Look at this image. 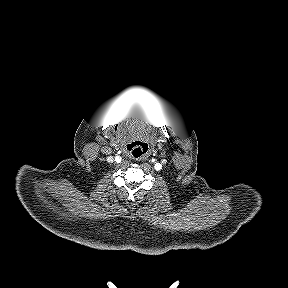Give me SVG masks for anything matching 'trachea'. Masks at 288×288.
<instances>
[{
	"label": "trachea",
	"mask_w": 288,
	"mask_h": 288,
	"mask_svg": "<svg viewBox=\"0 0 288 288\" xmlns=\"http://www.w3.org/2000/svg\"><path fill=\"white\" fill-rule=\"evenodd\" d=\"M127 149L133 158L138 159L147 153L149 147L147 143L140 140H134L127 145Z\"/></svg>",
	"instance_id": "1"
}]
</instances>
